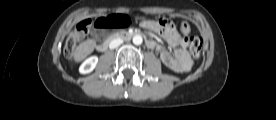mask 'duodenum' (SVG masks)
<instances>
[{
    "instance_id": "1",
    "label": "duodenum",
    "mask_w": 276,
    "mask_h": 120,
    "mask_svg": "<svg viewBox=\"0 0 276 120\" xmlns=\"http://www.w3.org/2000/svg\"><path fill=\"white\" fill-rule=\"evenodd\" d=\"M140 34L136 33V32H126V31H121V32H117L115 34H113L112 36H110L107 40H105L104 42H101L98 45V49L100 51H104L108 48V46L115 40L118 39H123V40H128L131 39L133 37L139 36ZM146 44H149V40H146Z\"/></svg>"
}]
</instances>
